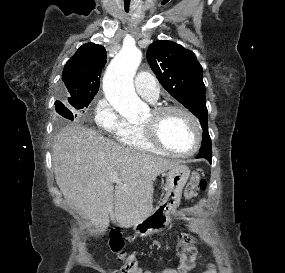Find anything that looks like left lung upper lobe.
Segmentation results:
<instances>
[{
    "instance_id": "5c2ea615",
    "label": "left lung upper lobe",
    "mask_w": 285,
    "mask_h": 273,
    "mask_svg": "<svg viewBox=\"0 0 285 273\" xmlns=\"http://www.w3.org/2000/svg\"><path fill=\"white\" fill-rule=\"evenodd\" d=\"M147 61L159 82L208 128L203 69L196 56L180 44L158 40L147 50Z\"/></svg>"
}]
</instances>
